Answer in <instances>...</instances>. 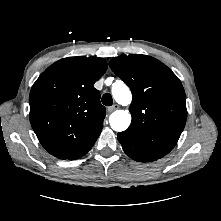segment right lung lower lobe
I'll return each mask as SVG.
<instances>
[{
	"label": "right lung lower lobe",
	"mask_w": 221,
	"mask_h": 221,
	"mask_svg": "<svg viewBox=\"0 0 221 221\" xmlns=\"http://www.w3.org/2000/svg\"><path fill=\"white\" fill-rule=\"evenodd\" d=\"M94 143H95V142H94ZM94 143H93V144H94ZM93 144H92L91 146H89L86 150H84L82 153L76 155L75 157H73V158H71V159H77V158H80V157H82L83 155H85V154L92 148Z\"/></svg>",
	"instance_id": "98d812e1"
}]
</instances>
